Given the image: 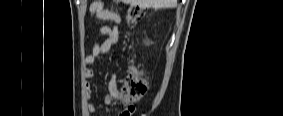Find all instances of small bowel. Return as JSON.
Returning a JSON list of instances; mask_svg holds the SVG:
<instances>
[{
  "mask_svg": "<svg viewBox=\"0 0 283 116\" xmlns=\"http://www.w3.org/2000/svg\"><path fill=\"white\" fill-rule=\"evenodd\" d=\"M89 12L96 16L97 19L102 21H110L113 23L112 26L103 25L99 29L100 36H103L105 39L103 41H97L93 48L92 52L85 57V62L88 65H93L97 62V59L101 55H105L115 46L119 40L120 26H121V17L117 13H114L105 8V5L102 1H94L89 7ZM86 76L91 79L94 76V70L88 68L86 70ZM118 77L115 72L110 75L108 81V91L111 96H118L117 88ZM93 93L92 85L89 83L87 86V95L91 97ZM88 110L93 113L96 111V107L93 104L87 106Z\"/></svg>",
  "mask_w": 283,
  "mask_h": 116,
  "instance_id": "c3829d8e",
  "label": "small bowel"
}]
</instances>
